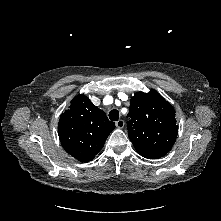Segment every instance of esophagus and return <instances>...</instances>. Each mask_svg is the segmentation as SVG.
Instances as JSON below:
<instances>
[{
	"label": "esophagus",
	"instance_id": "1",
	"mask_svg": "<svg viewBox=\"0 0 221 221\" xmlns=\"http://www.w3.org/2000/svg\"><path fill=\"white\" fill-rule=\"evenodd\" d=\"M116 127L120 128V129L123 128L124 127V121L122 119L118 120L116 122Z\"/></svg>",
	"mask_w": 221,
	"mask_h": 221
}]
</instances>
